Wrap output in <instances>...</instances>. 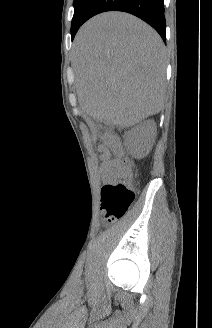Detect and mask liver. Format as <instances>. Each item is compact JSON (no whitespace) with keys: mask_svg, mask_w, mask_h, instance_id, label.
I'll return each mask as SVG.
<instances>
[{"mask_svg":"<svg viewBox=\"0 0 212 328\" xmlns=\"http://www.w3.org/2000/svg\"><path fill=\"white\" fill-rule=\"evenodd\" d=\"M73 67L79 105L96 121L128 128L163 108L162 39L130 14L87 21L75 37Z\"/></svg>","mask_w":212,"mask_h":328,"instance_id":"obj_1","label":"liver"}]
</instances>
